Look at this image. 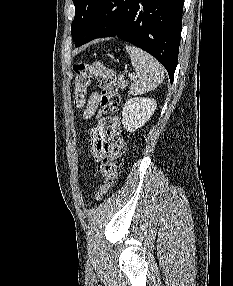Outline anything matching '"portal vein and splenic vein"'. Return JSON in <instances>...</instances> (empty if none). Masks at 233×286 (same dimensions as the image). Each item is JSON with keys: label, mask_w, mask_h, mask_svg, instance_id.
<instances>
[{"label": "portal vein and splenic vein", "mask_w": 233, "mask_h": 286, "mask_svg": "<svg viewBox=\"0 0 233 286\" xmlns=\"http://www.w3.org/2000/svg\"><path fill=\"white\" fill-rule=\"evenodd\" d=\"M128 76H129V78H130V80H132L133 78H134V75L133 74H128Z\"/></svg>", "instance_id": "portal-vein-and-splenic-vein-1"}]
</instances>
